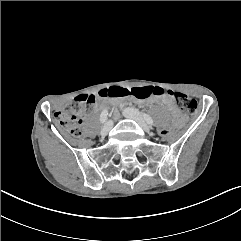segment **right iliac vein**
Returning <instances> with one entry per match:
<instances>
[{
    "label": "right iliac vein",
    "instance_id": "right-iliac-vein-1",
    "mask_svg": "<svg viewBox=\"0 0 241 241\" xmlns=\"http://www.w3.org/2000/svg\"><path fill=\"white\" fill-rule=\"evenodd\" d=\"M112 126H113V122L111 120L106 122L101 129V135L106 136L112 129Z\"/></svg>",
    "mask_w": 241,
    "mask_h": 241
}]
</instances>
